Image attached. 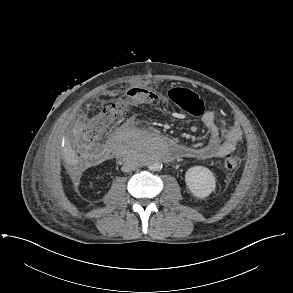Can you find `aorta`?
Instances as JSON below:
<instances>
[{"label": "aorta", "instance_id": "762f6f07", "mask_svg": "<svg viewBox=\"0 0 293 293\" xmlns=\"http://www.w3.org/2000/svg\"><path fill=\"white\" fill-rule=\"evenodd\" d=\"M169 146V142L162 137L153 138L152 152L162 155L164 150ZM148 168L151 171H159L162 169V164L158 161L152 162Z\"/></svg>", "mask_w": 293, "mask_h": 293}]
</instances>
